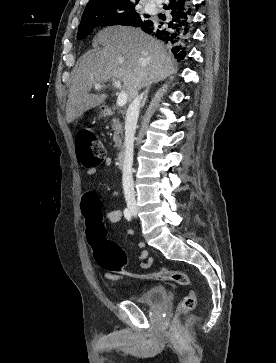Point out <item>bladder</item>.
Masks as SVG:
<instances>
[{"label": "bladder", "mask_w": 276, "mask_h": 363, "mask_svg": "<svg viewBox=\"0 0 276 363\" xmlns=\"http://www.w3.org/2000/svg\"><path fill=\"white\" fill-rule=\"evenodd\" d=\"M167 291L162 285H155L136 294L132 300L140 305L156 306L163 303L166 300Z\"/></svg>", "instance_id": "31cf9c89"}]
</instances>
